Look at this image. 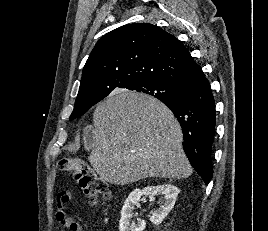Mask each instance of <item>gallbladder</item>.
I'll list each match as a JSON object with an SVG mask.
<instances>
[{"label":"gallbladder","mask_w":268,"mask_h":231,"mask_svg":"<svg viewBox=\"0 0 268 231\" xmlns=\"http://www.w3.org/2000/svg\"><path fill=\"white\" fill-rule=\"evenodd\" d=\"M87 148H89V149L93 148V143H92V142H89V143L87 144Z\"/></svg>","instance_id":"gallbladder-1"}]
</instances>
